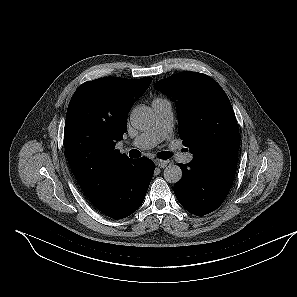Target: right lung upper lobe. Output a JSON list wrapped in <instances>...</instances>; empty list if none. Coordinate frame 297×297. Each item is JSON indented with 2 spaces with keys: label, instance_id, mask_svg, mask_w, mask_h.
I'll use <instances>...</instances> for the list:
<instances>
[{
  "label": "right lung upper lobe",
  "instance_id": "obj_1",
  "mask_svg": "<svg viewBox=\"0 0 297 297\" xmlns=\"http://www.w3.org/2000/svg\"><path fill=\"white\" fill-rule=\"evenodd\" d=\"M151 77L101 78L83 83L72 96L64 128L69 166L81 189L96 206L132 159L115 149L127 130L132 105Z\"/></svg>",
  "mask_w": 297,
  "mask_h": 297
}]
</instances>
